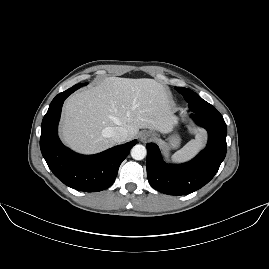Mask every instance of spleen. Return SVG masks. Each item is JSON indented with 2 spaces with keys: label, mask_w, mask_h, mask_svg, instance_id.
<instances>
[{
  "label": "spleen",
  "mask_w": 269,
  "mask_h": 269,
  "mask_svg": "<svg viewBox=\"0 0 269 269\" xmlns=\"http://www.w3.org/2000/svg\"><path fill=\"white\" fill-rule=\"evenodd\" d=\"M206 139L205 130H200L195 139L189 141L182 149L172 155V160L175 162H184L192 158L201 148L204 147Z\"/></svg>",
  "instance_id": "1"
}]
</instances>
